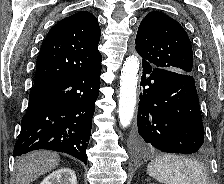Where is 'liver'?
Returning <instances> with one entry per match:
<instances>
[{
	"instance_id": "obj_1",
	"label": "liver",
	"mask_w": 224,
	"mask_h": 184,
	"mask_svg": "<svg viewBox=\"0 0 224 184\" xmlns=\"http://www.w3.org/2000/svg\"><path fill=\"white\" fill-rule=\"evenodd\" d=\"M60 156L51 151H33L16 163V184H30L58 166Z\"/></svg>"
}]
</instances>
